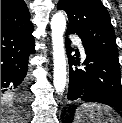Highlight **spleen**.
Returning a JSON list of instances; mask_svg holds the SVG:
<instances>
[{
  "mask_svg": "<svg viewBox=\"0 0 122 123\" xmlns=\"http://www.w3.org/2000/svg\"><path fill=\"white\" fill-rule=\"evenodd\" d=\"M117 116L108 106L84 103L76 110L74 123H115Z\"/></svg>",
  "mask_w": 122,
  "mask_h": 123,
  "instance_id": "3e777b00",
  "label": "spleen"
}]
</instances>
